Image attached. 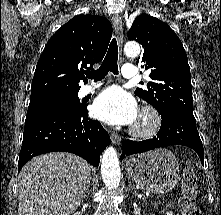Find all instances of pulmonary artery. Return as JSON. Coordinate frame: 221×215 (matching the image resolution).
<instances>
[{
	"label": "pulmonary artery",
	"mask_w": 221,
	"mask_h": 215,
	"mask_svg": "<svg viewBox=\"0 0 221 215\" xmlns=\"http://www.w3.org/2000/svg\"><path fill=\"white\" fill-rule=\"evenodd\" d=\"M121 74L125 78H133L136 76V68L131 64H124L121 69ZM103 85V81H98L93 84L85 85L80 89L79 95L81 97L88 95L94 90L98 89Z\"/></svg>",
	"instance_id": "1"
}]
</instances>
